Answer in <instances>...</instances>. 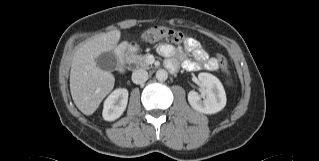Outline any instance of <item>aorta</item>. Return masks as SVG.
I'll list each match as a JSON object with an SVG mask.
<instances>
[{
    "label": "aorta",
    "instance_id": "obj_1",
    "mask_svg": "<svg viewBox=\"0 0 319 161\" xmlns=\"http://www.w3.org/2000/svg\"><path fill=\"white\" fill-rule=\"evenodd\" d=\"M156 78L157 80L159 81H165L167 80L168 78V73L166 70L164 69H159L157 72H156Z\"/></svg>",
    "mask_w": 319,
    "mask_h": 161
}]
</instances>
